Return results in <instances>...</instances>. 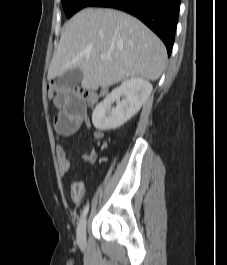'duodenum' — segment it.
Returning <instances> with one entry per match:
<instances>
[{
	"mask_svg": "<svg viewBox=\"0 0 227 265\" xmlns=\"http://www.w3.org/2000/svg\"><path fill=\"white\" fill-rule=\"evenodd\" d=\"M104 92H105V89L102 90V93H104Z\"/></svg>",
	"mask_w": 227,
	"mask_h": 265,
	"instance_id": "obj_1",
	"label": "duodenum"
}]
</instances>
